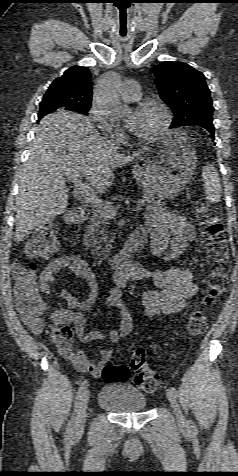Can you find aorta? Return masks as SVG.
<instances>
[{"label": "aorta", "mask_w": 238, "mask_h": 476, "mask_svg": "<svg viewBox=\"0 0 238 476\" xmlns=\"http://www.w3.org/2000/svg\"><path fill=\"white\" fill-rule=\"evenodd\" d=\"M99 109L109 118L119 119L129 114L130 109L120 101V82L116 73L106 75L95 94Z\"/></svg>", "instance_id": "762f6f07"}]
</instances>
